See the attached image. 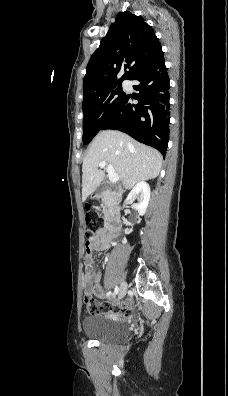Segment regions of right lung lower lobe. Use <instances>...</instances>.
Returning <instances> with one entry per match:
<instances>
[{"label": "right lung lower lobe", "mask_w": 228, "mask_h": 396, "mask_svg": "<svg viewBox=\"0 0 228 396\" xmlns=\"http://www.w3.org/2000/svg\"><path fill=\"white\" fill-rule=\"evenodd\" d=\"M132 80L138 97L127 94L114 114L105 122L104 129H117L137 141L166 154L169 136V77L161 45ZM133 98L139 101L133 104Z\"/></svg>", "instance_id": "98d812e1"}]
</instances>
